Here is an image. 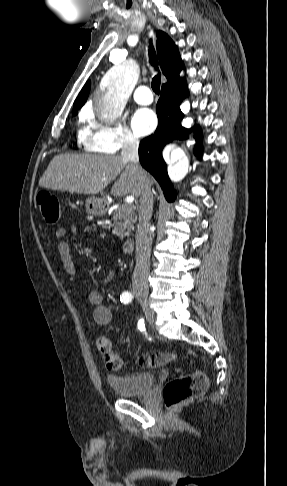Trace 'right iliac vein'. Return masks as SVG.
<instances>
[{"label": "right iliac vein", "instance_id": "63e3f726", "mask_svg": "<svg viewBox=\"0 0 287 486\" xmlns=\"http://www.w3.org/2000/svg\"><path fill=\"white\" fill-rule=\"evenodd\" d=\"M135 295H136L137 299L140 301L148 320L150 321L151 324H153L154 312L149 307L147 292L145 290H138V291L135 292Z\"/></svg>", "mask_w": 287, "mask_h": 486}]
</instances>
